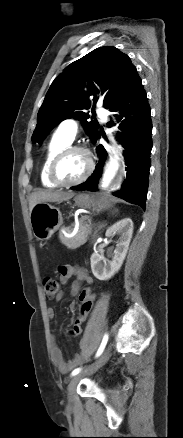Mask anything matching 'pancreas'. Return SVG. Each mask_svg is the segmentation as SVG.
<instances>
[{"mask_svg": "<svg viewBox=\"0 0 183 438\" xmlns=\"http://www.w3.org/2000/svg\"><path fill=\"white\" fill-rule=\"evenodd\" d=\"M86 220H89L88 217L80 219L78 232L73 237L68 238L61 233L59 234L61 243L67 246L68 249L74 250L86 243L88 235L91 233L90 225L86 223ZM66 231L71 233L72 228H66Z\"/></svg>", "mask_w": 183, "mask_h": 438, "instance_id": "obj_1", "label": "pancreas"}]
</instances>
